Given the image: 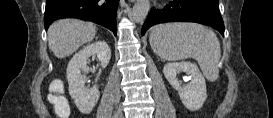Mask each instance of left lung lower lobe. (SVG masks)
Wrapping results in <instances>:
<instances>
[{
    "instance_id": "obj_1",
    "label": "left lung lower lobe",
    "mask_w": 273,
    "mask_h": 118,
    "mask_svg": "<svg viewBox=\"0 0 273 118\" xmlns=\"http://www.w3.org/2000/svg\"><path fill=\"white\" fill-rule=\"evenodd\" d=\"M185 21L208 25L224 36V23L219 6L210 0H174L159 10L152 8L142 27V35L153 25Z\"/></svg>"
}]
</instances>
